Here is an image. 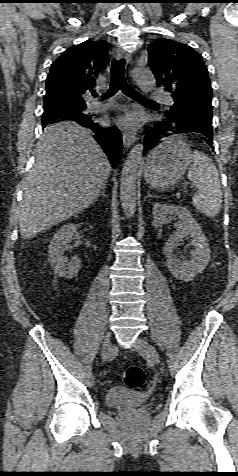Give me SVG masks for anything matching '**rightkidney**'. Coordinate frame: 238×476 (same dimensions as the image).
<instances>
[{
  "label": "right kidney",
  "mask_w": 238,
  "mask_h": 476,
  "mask_svg": "<svg viewBox=\"0 0 238 476\" xmlns=\"http://www.w3.org/2000/svg\"><path fill=\"white\" fill-rule=\"evenodd\" d=\"M78 227H80V224L72 223L62 226L48 246L49 262L54 270V274L59 277L72 279L80 269V259L75 257L69 262L64 256V252L68 249L69 243L74 238Z\"/></svg>",
  "instance_id": "1"
}]
</instances>
